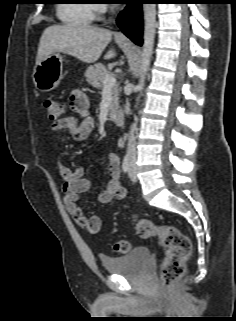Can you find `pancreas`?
I'll use <instances>...</instances> for the list:
<instances>
[{
    "label": "pancreas",
    "instance_id": "cf45deb5",
    "mask_svg": "<svg viewBox=\"0 0 236 321\" xmlns=\"http://www.w3.org/2000/svg\"><path fill=\"white\" fill-rule=\"evenodd\" d=\"M112 75L110 69L106 68L103 64L98 63L94 66L88 67L85 71L87 82L98 89L103 87L102 81L105 77ZM112 102L110 106V114L113 115L119 107V89L115 85L112 90Z\"/></svg>",
    "mask_w": 236,
    "mask_h": 321
}]
</instances>
